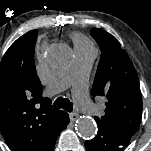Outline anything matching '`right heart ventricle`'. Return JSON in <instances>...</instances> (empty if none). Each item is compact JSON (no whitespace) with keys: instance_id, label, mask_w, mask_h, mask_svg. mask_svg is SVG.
<instances>
[{"instance_id":"1","label":"right heart ventricle","mask_w":151,"mask_h":151,"mask_svg":"<svg viewBox=\"0 0 151 151\" xmlns=\"http://www.w3.org/2000/svg\"><path fill=\"white\" fill-rule=\"evenodd\" d=\"M72 39L75 47H89L92 46L91 42L83 35L79 33H73Z\"/></svg>"}]
</instances>
